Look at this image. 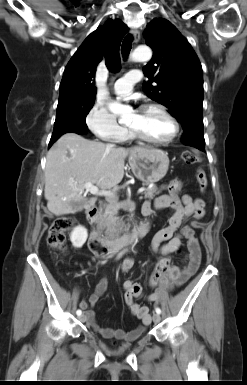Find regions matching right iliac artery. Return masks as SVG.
Here are the masks:
<instances>
[{
	"label": "right iliac artery",
	"mask_w": 247,
	"mask_h": 385,
	"mask_svg": "<svg viewBox=\"0 0 247 385\" xmlns=\"http://www.w3.org/2000/svg\"><path fill=\"white\" fill-rule=\"evenodd\" d=\"M121 255V254H120ZM76 314L78 315V316H80L81 314H82V311L80 310V309H78L77 311H76Z\"/></svg>",
	"instance_id": "1"
}]
</instances>
